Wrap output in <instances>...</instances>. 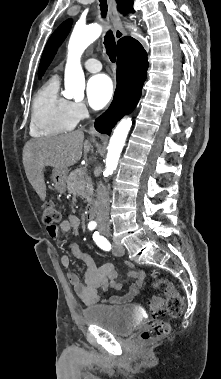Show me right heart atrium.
I'll use <instances>...</instances> for the list:
<instances>
[{
  "instance_id": "obj_1",
  "label": "right heart atrium",
  "mask_w": 221,
  "mask_h": 379,
  "mask_svg": "<svg viewBox=\"0 0 221 379\" xmlns=\"http://www.w3.org/2000/svg\"><path fill=\"white\" fill-rule=\"evenodd\" d=\"M71 109L77 121L83 119L87 114V108L82 102L72 101Z\"/></svg>"
}]
</instances>
